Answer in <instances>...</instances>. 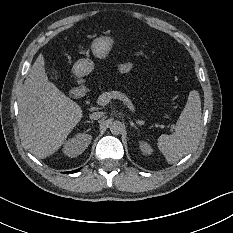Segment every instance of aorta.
I'll return each instance as SVG.
<instances>
[{
  "mask_svg": "<svg viewBox=\"0 0 233 233\" xmlns=\"http://www.w3.org/2000/svg\"><path fill=\"white\" fill-rule=\"evenodd\" d=\"M121 123L120 122H112V124L110 125V131L112 134L114 135H118L121 131Z\"/></svg>",
  "mask_w": 233,
  "mask_h": 233,
  "instance_id": "aorta-1",
  "label": "aorta"
}]
</instances>
